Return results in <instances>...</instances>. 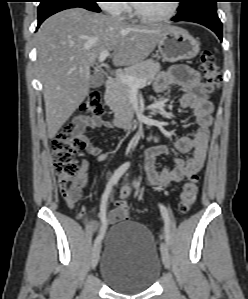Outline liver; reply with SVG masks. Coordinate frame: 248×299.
Returning <instances> with one entry per match:
<instances>
[{
	"label": "liver",
	"mask_w": 248,
	"mask_h": 299,
	"mask_svg": "<svg viewBox=\"0 0 248 299\" xmlns=\"http://www.w3.org/2000/svg\"><path fill=\"white\" fill-rule=\"evenodd\" d=\"M169 27L131 25L83 8L67 9L44 21L36 46L49 139L85 100L90 67L102 51H113L115 66L135 65L151 54Z\"/></svg>",
	"instance_id": "1"
}]
</instances>
